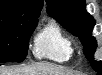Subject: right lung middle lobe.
<instances>
[{"label":"right lung middle lobe","mask_w":102,"mask_h":75,"mask_svg":"<svg viewBox=\"0 0 102 75\" xmlns=\"http://www.w3.org/2000/svg\"><path fill=\"white\" fill-rule=\"evenodd\" d=\"M38 17L0 12V63L25 59Z\"/></svg>","instance_id":"1"}]
</instances>
